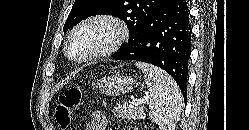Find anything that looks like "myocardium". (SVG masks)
<instances>
[{"mask_svg": "<svg viewBox=\"0 0 249 130\" xmlns=\"http://www.w3.org/2000/svg\"><path fill=\"white\" fill-rule=\"evenodd\" d=\"M97 23L110 25L115 32L113 39L103 48L96 50L84 57L76 58L71 56L69 53V44L74 35L77 34L79 31H81L82 29H84L85 27ZM128 37H129V29L127 24L122 19L107 14H96L83 19L77 25L74 26V28L70 31L65 41L64 53L66 57L73 62L86 63L111 55L119 47L122 46V44L128 39Z\"/></svg>", "mask_w": 249, "mask_h": 130, "instance_id": "1", "label": "myocardium"}]
</instances>
